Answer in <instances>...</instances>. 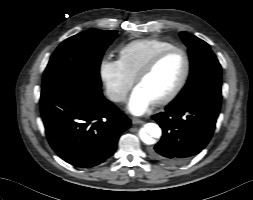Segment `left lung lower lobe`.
I'll use <instances>...</instances> for the list:
<instances>
[{
    "mask_svg": "<svg viewBox=\"0 0 253 200\" xmlns=\"http://www.w3.org/2000/svg\"><path fill=\"white\" fill-rule=\"evenodd\" d=\"M222 95L205 92L187 102H171L152 116L162 128L161 140L150 155L165 164H180L198 154L210 141L221 107Z\"/></svg>",
    "mask_w": 253,
    "mask_h": 200,
    "instance_id": "0a47b994",
    "label": "left lung lower lobe"
}]
</instances>
